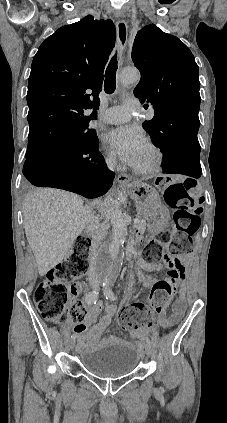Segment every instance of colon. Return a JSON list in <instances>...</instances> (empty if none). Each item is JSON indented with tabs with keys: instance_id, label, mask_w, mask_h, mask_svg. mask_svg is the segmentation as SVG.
<instances>
[{
	"instance_id": "1",
	"label": "colon",
	"mask_w": 227,
	"mask_h": 423,
	"mask_svg": "<svg viewBox=\"0 0 227 423\" xmlns=\"http://www.w3.org/2000/svg\"><path fill=\"white\" fill-rule=\"evenodd\" d=\"M157 186L164 191L167 205L175 210L174 231L171 237L169 233H163L152 240L143 257L150 263L163 262L168 268V273L166 279L154 284L149 297L150 305L136 302L121 309L119 323L129 330L149 326L148 315L165 311L174 295L175 284L184 277V270L176 256L192 249L193 235L200 227L202 207L192 194L195 187L193 181L171 182L158 179ZM166 244H169L170 254L164 250ZM89 246L90 239L79 236L68 257L51 269L38 283L34 292V302L47 321L63 324L64 309L70 301H72L71 320L74 322L83 320L84 308L73 302L77 288L72 282L84 275L88 269Z\"/></svg>"
}]
</instances>
